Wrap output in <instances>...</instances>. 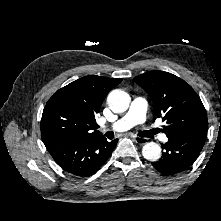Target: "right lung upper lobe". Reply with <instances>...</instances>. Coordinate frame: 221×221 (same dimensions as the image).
Wrapping results in <instances>:
<instances>
[{
    "label": "right lung upper lobe",
    "mask_w": 221,
    "mask_h": 221,
    "mask_svg": "<svg viewBox=\"0 0 221 221\" xmlns=\"http://www.w3.org/2000/svg\"><path fill=\"white\" fill-rule=\"evenodd\" d=\"M121 81V78L89 75L59 89L43 110V142L102 135L96 130L99 127L96 116L108 92Z\"/></svg>",
    "instance_id": "obj_1"
}]
</instances>
